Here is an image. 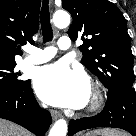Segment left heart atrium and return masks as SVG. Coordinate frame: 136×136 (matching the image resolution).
Wrapping results in <instances>:
<instances>
[{"label":"left heart atrium","mask_w":136,"mask_h":136,"mask_svg":"<svg viewBox=\"0 0 136 136\" xmlns=\"http://www.w3.org/2000/svg\"><path fill=\"white\" fill-rule=\"evenodd\" d=\"M34 88L44 102L59 107H83L90 95L87 76L62 62L40 68L34 78Z\"/></svg>","instance_id":"obj_1"}]
</instances>
